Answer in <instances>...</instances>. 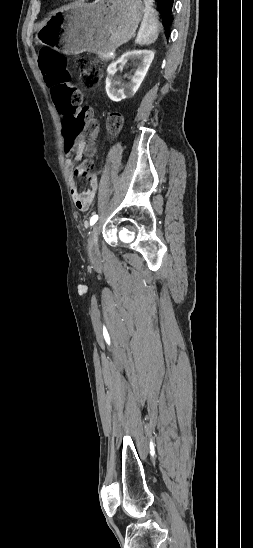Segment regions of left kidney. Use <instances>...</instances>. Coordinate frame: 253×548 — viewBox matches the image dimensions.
I'll return each instance as SVG.
<instances>
[{"label":"left kidney","instance_id":"obj_1","mask_svg":"<svg viewBox=\"0 0 253 548\" xmlns=\"http://www.w3.org/2000/svg\"><path fill=\"white\" fill-rule=\"evenodd\" d=\"M153 59V51L139 50L124 53L117 61L111 63L107 68L108 75L105 82L108 97L114 102L132 97L139 89ZM129 60H132L136 64L137 69L129 83L121 84L115 77L117 65L126 64Z\"/></svg>","mask_w":253,"mask_h":548}]
</instances>
